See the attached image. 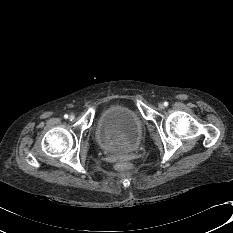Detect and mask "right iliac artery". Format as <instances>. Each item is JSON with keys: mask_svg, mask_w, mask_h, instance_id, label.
<instances>
[{"mask_svg": "<svg viewBox=\"0 0 233 233\" xmlns=\"http://www.w3.org/2000/svg\"><path fill=\"white\" fill-rule=\"evenodd\" d=\"M64 118H65V119H67V118H68V115H67V114H65V115H64Z\"/></svg>", "mask_w": 233, "mask_h": 233, "instance_id": "1", "label": "right iliac artery"}]
</instances>
